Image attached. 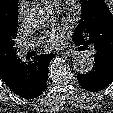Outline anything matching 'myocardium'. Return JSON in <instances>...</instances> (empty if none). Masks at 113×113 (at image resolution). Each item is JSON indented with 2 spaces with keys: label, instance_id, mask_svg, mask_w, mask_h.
<instances>
[{
  "label": "myocardium",
  "instance_id": "1",
  "mask_svg": "<svg viewBox=\"0 0 113 113\" xmlns=\"http://www.w3.org/2000/svg\"><path fill=\"white\" fill-rule=\"evenodd\" d=\"M60 11L67 21L73 23L80 15L81 5L78 0H62Z\"/></svg>",
  "mask_w": 113,
  "mask_h": 113
}]
</instances>
